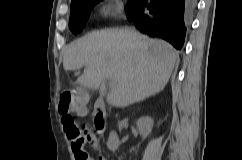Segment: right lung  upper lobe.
Segmentation results:
<instances>
[{"mask_svg": "<svg viewBox=\"0 0 242 160\" xmlns=\"http://www.w3.org/2000/svg\"><path fill=\"white\" fill-rule=\"evenodd\" d=\"M75 1H79V0H72L71 3H72V2H75Z\"/></svg>", "mask_w": 242, "mask_h": 160, "instance_id": "right-lung-upper-lobe-1", "label": "right lung upper lobe"}]
</instances>
